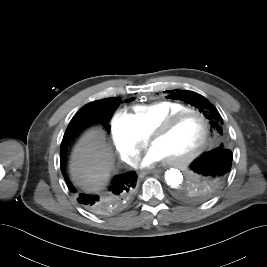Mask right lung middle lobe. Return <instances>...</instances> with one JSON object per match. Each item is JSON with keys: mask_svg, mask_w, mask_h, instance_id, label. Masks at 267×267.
Returning a JSON list of instances; mask_svg holds the SVG:
<instances>
[{"mask_svg": "<svg viewBox=\"0 0 267 267\" xmlns=\"http://www.w3.org/2000/svg\"><path fill=\"white\" fill-rule=\"evenodd\" d=\"M95 104V103H93ZM100 104L105 106L106 111L110 112L112 109H117L115 107V98H108V99H103L100 101Z\"/></svg>", "mask_w": 267, "mask_h": 267, "instance_id": "dd1d6c3e", "label": "right lung middle lobe"}]
</instances>
